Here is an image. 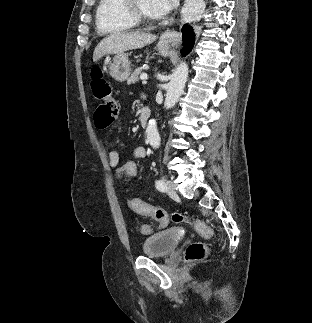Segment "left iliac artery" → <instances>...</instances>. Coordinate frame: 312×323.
<instances>
[{
    "mask_svg": "<svg viewBox=\"0 0 312 323\" xmlns=\"http://www.w3.org/2000/svg\"><path fill=\"white\" fill-rule=\"evenodd\" d=\"M155 186L158 190H165V183L163 180H157Z\"/></svg>",
    "mask_w": 312,
    "mask_h": 323,
    "instance_id": "left-iliac-artery-1",
    "label": "left iliac artery"
}]
</instances>
